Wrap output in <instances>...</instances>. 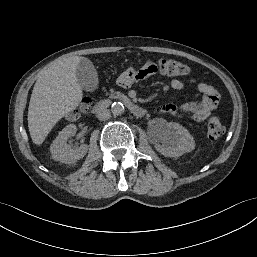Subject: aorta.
Listing matches in <instances>:
<instances>
[{
	"label": "aorta",
	"instance_id": "aorta-1",
	"mask_svg": "<svg viewBox=\"0 0 257 257\" xmlns=\"http://www.w3.org/2000/svg\"><path fill=\"white\" fill-rule=\"evenodd\" d=\"M111 111L114 116H119L124 113L125 108L121 102H114L111 106Z\"/></svg>",
	"mask_w": 257,
	"mask_h": 257
}]
</instances>
